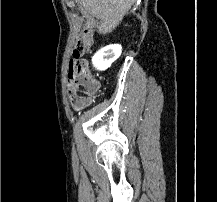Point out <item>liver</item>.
<instances>
[{"mask_svg": "<svg viewBox=\"0 0 217 202\" xmlns=\"http://www.w3.org/2000/svg\"><path fill=\"white\" fill-rule=\"evenodd\" d=\"M82 8L101 20L99 34H110L119 26L136 0H78Z\"/></svg>", "mask_w": 217, "mask_h": 202, "instance_id": "obj_1", "label": "liver"}]
</instances>
